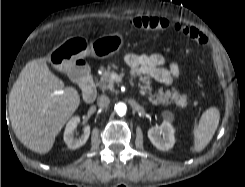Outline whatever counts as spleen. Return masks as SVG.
I'll use <instances>...</instances> for the list:
<instances>
[{
	"label": "spleen",
	"instance_id": "1",
	"mask_svg": "<svg viewBox=\"0 0 245 187\" xmlns=\"http://www.w3.org/2000/svg\"><path fill=\"white\" fill-rule=\"evenodd\" d=\"M220 120V112L216 107L208 108L201 116L199 122L194 124V145L192 153L202 151L211 141Z\"/></svg>",
	"mask_w": 245,
	"mask_h": 187
}]
</instances>
